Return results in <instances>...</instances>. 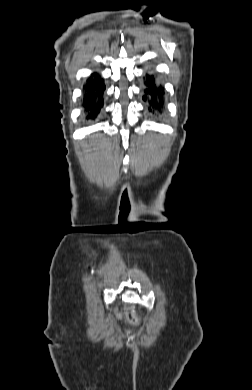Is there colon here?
Listing matches in <instances>:
<instances>
[{
	"label": "colon",
	"instance_id": "obj_1",
	"mask_svg": "<svg viewBox=\"0 0 252 390\" xmlns=\"http://www.w3.org/2000/svg\"><path fill=\"white\" fill-rule=\"evenodd\" d=\"M126 317L128 319V321L132 324H139L140 323V317L139 315L136 313L135 311V308L134 306L132 305H129L127 308H126Z\"/></svg>",
	"mask_w": 252,
	"mask_h": 390
}]
</instances>
